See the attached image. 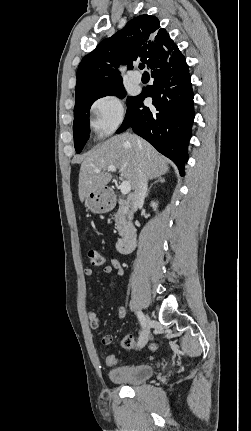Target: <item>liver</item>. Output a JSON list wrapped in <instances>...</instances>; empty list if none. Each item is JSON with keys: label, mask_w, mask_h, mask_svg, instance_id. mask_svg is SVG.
<instances>
[{"label": "liver", "mask_w": 251, "mask_h": 431, "mask_svg": "<svg viewBox=\"0 0 251 431\" xmlns=\"http://www.w3.org/2000/svg\"><path fill=\"white\" fill-rule=\"evenodd\" d=\"M140 163L148 179L156 178L168 172V160L144 139L133 134H121L90 151L81 163L79 172V198L83 202L86 196L105 186L112 175L107 167L115 166L121 177L130 182L133 189L138 184ZM99 169L100 172H94Z\"/></svg>", "instance_id": "1"}]
</instances>
